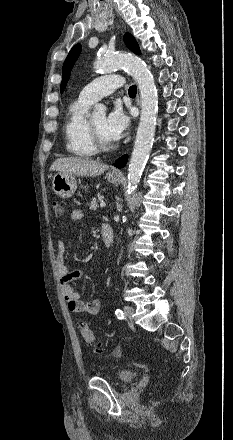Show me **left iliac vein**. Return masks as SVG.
Returning <instances> with one entry per match:
<instances>
[{"label": "left iliac vein", "mask_w": 233, "mask_h": 440, "mask_svg": "<svg viewBox=\"0 0 233 440\" xmlns=\"http://www.w3.org/2000/svg\"><path fill=\"white\" fill-rule=\"evenodd\" d=\"M133 311H134V309H133V307H131V306H125V307H124V313H125V316H126L128 319H131L132 314H133Z\"/></svg>", "instance_id": "left-iliac-vein-1"}]
</instances>
